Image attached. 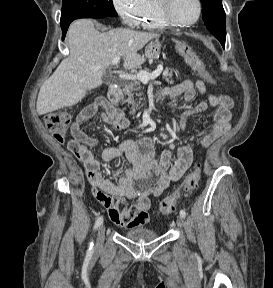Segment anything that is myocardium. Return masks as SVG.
<instances>
[{
	"label": "myocardium",
	"mask_w": 273,
	"mask_h": 288,
	"mask_svg": "<svg viewBox=\"0 0 273 288\" xmlns=\"http://www.w3.org/2000/svg\"><path fill=\"white\" fill-rule=\"evenodd\" d=\"M157 11L160 18L168 25L178 28L190 27L195 24L202 14V2L201 0H196L197 3V14L194 19L187 22L176 21L170 13V3L171 0H155Z\"/></svg>",
	"instance_id": "myocardium-1"
}]
</instances>
